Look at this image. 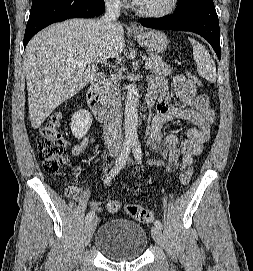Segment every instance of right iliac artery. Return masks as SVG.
<instances>
[{
	"instance_id": "1",
	"label": "right iliac artery",
	"mask_w": 253,
	"mask_h": 271,
	"mask_svg": "<svg viewBox=\"0 0 253 271\" xmlns=\"http://www.w3.org/2000/svg\"><path fill=\"white\" fill-rule=\"evenodd\" d=\"M130 151H131V142L125 141L123 143L121 153L119 157L117 158L115 165L113 166V168L110 170V172L106 175L104 179V184H110V182L118 174V172L122 168L125 167ZM93 216H94V212L90 211L86 215V218H85L86 222L90 221L93 218Z\"/></svg>"
}]
</instances>
